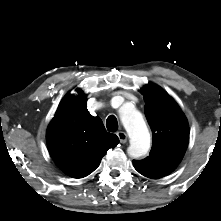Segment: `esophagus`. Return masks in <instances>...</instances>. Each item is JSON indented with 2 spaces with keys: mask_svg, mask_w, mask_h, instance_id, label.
<instances>
[{
  "mask_svg": "<svg viewBox=\"0 0 221 221\" xmlns=\"http://www.w3.org/2000/svg\"><path fill=\"white\" fill-rule=\"evenodd\" d=\"M117 136L119 138L120 143H126L127 141V134L123 131L117 132Z\"/></svg>",
  "mask_w": 221,
  "mask_h": 221,
  "instance_id": "esophagus-1",
  "label": "esophagus"
}]
</instances>
